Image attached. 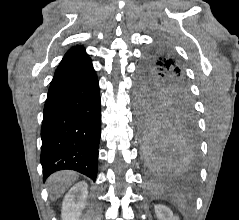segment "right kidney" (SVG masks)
<instances>
[{
	"instance_id": "ca27d5eb",
	"label": "right kidney",
	"mask_w": 239,
	"mask_h": 220,
	"mask_svg": "<svg viewBox=\"0 0 239 220\" xmlns=\"http://www.w3.org/2000/svg\"><path fill=\"white\" fill-rule=\"evenodd\" d=\"M87 189V183L79 182L69 190L63 201L62 220H78L85 206Z\"/></svg>"
}]
</instances>
